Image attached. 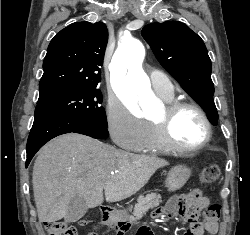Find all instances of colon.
I'll return each mask as SVG.
<instances>
[{"mask_svg":"<svg viewBox=\"0 0 250 235\" xmlns=\"http://www.w3.org/2000/svg\"><path fill=\"white\" fill-rule=\"evenodd\" d=\"M221 180L220 168L217 164L210 163L203 167L200 181L204 185L216 184ZM221 207L219 204H211L203 212V221L206 225H217L220 220ZM87 221H82L86 224ZM48 235H77L74 225L66 221H48L44 223Z\"/></svg>","mask_w":250,"mask_h":235,"instance_id":"5ec220e1","label":"colon"}]
</instances>
